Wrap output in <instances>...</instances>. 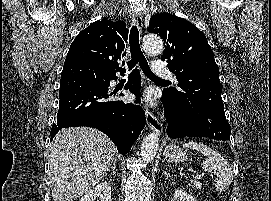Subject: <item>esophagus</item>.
I'll use <instances>...</instances> for the list:
<instances>
[{"instance_id":"34e87169","label":"esophagus","mask_w":271,"mask_h":201,"mask_svg":"<svg viewBox=\"0 0 271 201\" xmlns=\"http://www.w3.org/2000/svg\"><path fill=\"white\" fill-rule=\"evenodd\" d=\"M132 21L136 24L139 31H142L143 28V19L141 13H133L132 14ZM145 118L148 126L156 132L158 135H161L163 133V126L162 123L159 121V119L154 115V113L151 111L149 106L147 104L143 105Z\"/></svg>"}]
</instances>
